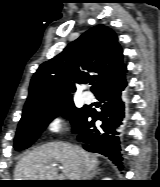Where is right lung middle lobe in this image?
Listing matches in <instances>:
<instances>
[{
  "label": "right lung middle lobe",
  "mask_w": 160,
  "mask_h": 187,
  "mask_svg": "<svg viewBox=\"0 0 160 187\" xmlns=\"http://www.w3.org/2000/svg\"><path fill=\"white\" fill-rule=\"evenodd\" d=\"M86 111L85 107L76 108L73 101L68 100L47 109L23 113L14 140L15 149L19 151L28 148L39 137L46 126L60 113L69 118L75 128Z\"/></svg>",
  "instance_id": "obj_1"
}]
</instances>
